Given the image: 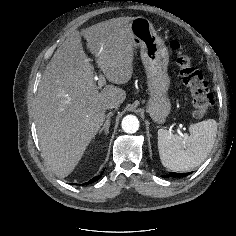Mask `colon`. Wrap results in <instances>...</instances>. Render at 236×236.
<instances>
[{
    "label": "colon",
    "instance_id": "5ec220e1",
    "mask_svg": "<svg viewBox=\"0 0 236 236\" xmlns=\"http://www.w3.org/2000/svg\"><path fill=\"white\" fill-rule=\"evenodd\" d=\"M170 48L177 52V65L182 82L189 89L194 106V116L202 118L207 115L213 104V96L210 93L203 74L195 67L194 58L181 49L177 41L170 43Z\"/></svg>",
    "mask_w": 236,
    "mask_h": 236
}]
</instances>
